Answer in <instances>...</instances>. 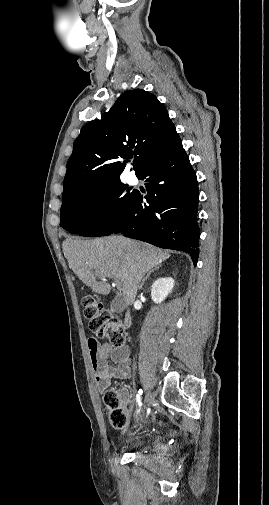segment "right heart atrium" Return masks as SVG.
I'll return each mask as SVG.
<instances>
[{
  "label": "right heart atrium",
  "instance_id": "1",
  "mask_svg": "<svg viewBox=\"0 0 269 505\" xmlns=\"http://www.w3.org/2000/svg\"><path fill=\"white\" fill-rule=\"evenodd\" d=\"M111 207V201L109 199H104L100 204H99V211L101 213H106L109 211Z\"/></svg>",
  "mask_w": 269,
  "mask_h": 505
}]
</instances>
